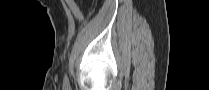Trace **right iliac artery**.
I'll use <instances>...</instances> for the list:
<instances>
[{"label": "right iliac artery", "mask_w": 209, "mask_h": 90, "mask_svg": "<svg viewBox=\"0 0 209 90\" xmlns=\"http://www.w3.org/2000/svg\"><path fill=\"white\" fill-rule=\"evenodd\" d=\"M70 84H69V80L67 78V76L64 77V80H63V89L64 90H70Z\"/></svg>", "instance_id": "82829eb1"}]
</instances>
